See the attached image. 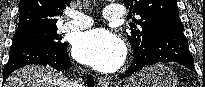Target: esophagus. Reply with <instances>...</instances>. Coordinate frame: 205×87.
<instances>
[{
    "label": "esophagus",
    "instance_id": "1",
    "mask_svg": "<svg viewBox=\"0 0 205 87\" xmlns=\"http://www.w3.org/2000/svg\"><path fill=\"white\" fill-rule=\"evenodd\" d=\"M99 85L101 87H108L110 85L109 78H106V77L105 78L104 77L99 78Z\"/></svg>",
    "mask_w": 205,
    "mask_h": 87
}]
</instances>
